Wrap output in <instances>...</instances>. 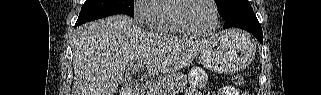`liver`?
<instances>
[{"instance_id":"1","label":"liver","mask_w":321,"mask_h":95,"mask_svg":"<svg viewBox=\"0 0 321 95\" xmlns=\"http://www.w3.org/2000/svg\"><path fill=\"white\" fill-rule=\"evenodd\" d=\"M208 41H192L141 29L126 15L90 22L74 32L72 95H114L126 76L145 62L150 74L188 66Z\"/></svg>"}]
</instances>
